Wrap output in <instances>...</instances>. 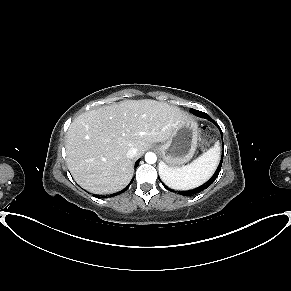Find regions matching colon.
<instances>
[{
	"label": "colon",
	"instance_id": "5ec220e1",
	"mask_svg": "<svg viewBox=\"0 0 291 291\" xmlns=\"http://www.w3.org/2000/svg\"><path fill=\"white\" fill-rule=\"evenodd\" d=\"M213 140V133L210 128L205 127L202 130L201 140H200V148L202 150L206 149L211 141Z\"/></svg>",
	"mask_w": 291,
	"mask_h": 291
}]
</instances>
